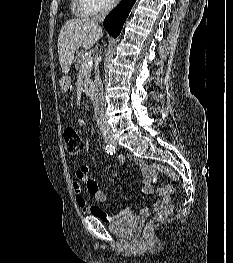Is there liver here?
<instances>
[{"label": "liver", "mask_w": 233, "mask_h": 263, "mask_svg": "<svg viewBox=\"0 0 233 263\" xmlns=\"http://www.w3.org/2000/svg\"><path fill=\"white\" fill-rule=\"evenodd\" d=\"M102 37V29L92 19L81 18L66 21L58 37V55L62 71L67 74L75 52L83 47L90 49Z\"/></svg>", "instance_id": "6515ba94"}]
</instances>
